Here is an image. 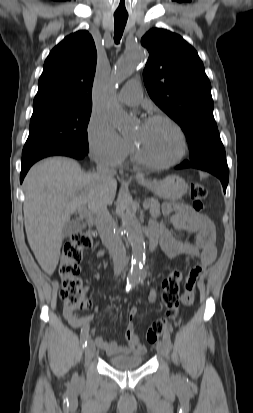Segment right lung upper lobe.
<instances>
[{
	"label": "right lung upper lobe",
	"instance_id": "1",
	"mask_svg": "<svg viewBox=\"0 0 253 413\" xmlns=\"http://www.w3.org/2000/svg\"><path fill=\"white\" fill-rule=\"evenodd\" d=\"M96 62L95 44L86 30L65 37L45 60L33 112L92 106Z\"/></svg>",
	"mask_w": 253,
	"mask_h": 413
}]
</instances>
